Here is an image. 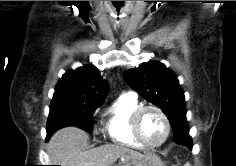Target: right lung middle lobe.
<instances>
[{
	"label": "right lung middle lobe",
	"mask_w": 236,
	"mask_h": 166,
	"mask_svg": "<svg viewBox=\"0 0 236 166\" xmlns=\"http://www.w3.org/2000/svg\"><path fill=\"white\" fill-rule=\"evenodd\" d=\"M99 105L76 101H55L51 103L47 123V139L58 129L76 126L91 133L93 131L92 115Z\"/></svg>",
	"instance_id": "right-lung-middle-lobe-1"
}]
</instances>
